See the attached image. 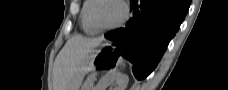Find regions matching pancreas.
I'll use <instances>...</instances> for the list:
<instances>
[{
	"label": "pancreas",
	"mask_w": 228,
	"mask_h": 90,
	"mask_svg": "<svg viewBox=\"0 0 228 90\" xmlns=\"http://www.w3.org/2000/svg\"><path fill=\"white\" fill-rule=\"evenodd\" d=\"M94 78L95 77L93 75L88 76L85 82L83 83L81 90H92Z\"/></svg>",
	"instance_id": "1"
}]
</instances>
